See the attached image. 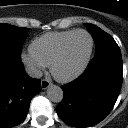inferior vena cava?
<instances>
[{
    "mask_svg": "<svg viewBox=\"0 0 128 128\" xmlns=\"http://www.w3.org/2000/svg\"><path fill=\"white\" fill-rule=\"evenodd\" d=\"M25 71L32 78H41L43 75L42 71L34 67L33 65H27L25 67Z\"/></svg>",
    "mask_w": 128,
    "mask_h": 128,
    "instance_id": "602c4592",
    "label": "inferior vena cava"
}]
</instances>
